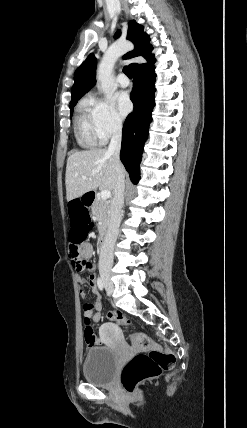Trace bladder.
Instances as JSON below:
<instances>
[{
  "label": "bladder",
  "mask_w": 247,
  "mask_h": 428,
  "mask_svg": "<svg viewBox=\"0 0 247 428\" xmlns=\"http://www.w3.org/2000/svg\"><path fill=\"white\" fill-rule=\"evenodd\" d=\"M119 366L118 353L110 347L99 346L87 350L83 362L86 381L97 386L110 385Z\"/></svg>",
  "instance_id": "1"
}]
</instances>
